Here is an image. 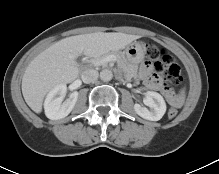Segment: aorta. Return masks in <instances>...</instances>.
<instances>
[{"instance_id":"aorta-1","label":"aorta","mask_w":219,"mask_h":174,"mask_svg":"<svg viewBox=\"0 0 219 174\" xmlns=\"http://www.w3.org/2000/svg\"><path fill=\"white\" fill-rule=\"evenodd\" d=\"M113 78V73L109 69H104L100 72V79L104 82H108L112 80Z\"/></svg>"}]
</instances>
